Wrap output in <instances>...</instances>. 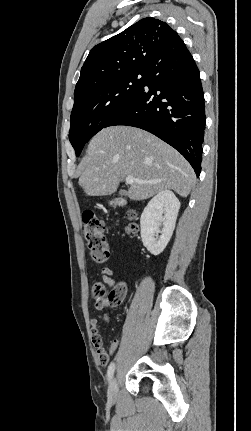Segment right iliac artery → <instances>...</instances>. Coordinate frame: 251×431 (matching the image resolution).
Wrapping results in <instances>:
<instances>
[{
    "mask_svg": "<svg viewBox=\"0 0 251 431\" xmlns=\"http://www.w3.org/2000/svg\"><path fill=\"white\" fill-rule=\"evenodd\" d=\"M114 370H115V364L112 362V363L109 365L108 370H107V377H108V380H111V379H112L113 374H114Z\"/></svg>",
    "mask_w": 251,
    "mask_h": 431,
    "instance_id": "right-iliac-artery-1",
    "label": "right iliac artery"
}]
</instances>
